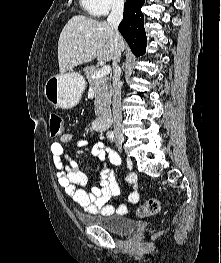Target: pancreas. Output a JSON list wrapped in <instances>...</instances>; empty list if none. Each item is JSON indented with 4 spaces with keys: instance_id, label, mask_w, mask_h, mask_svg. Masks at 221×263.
Instances as JSON below:
<instances>
[{
    "instance_id": "pancreas-1",
    "label": "pancreas",
    "mask_w": 221,
    "mask_h": 263,
    "mask_svg": "<svg viewBox=\"0 0 221 263\" xmlns=\"http://www.w3.org/2000/svg\"><path fill=\"white\" fill-rule=\"evenodd\" d=\"M96 72L97 68L95 66H87L84 68V74L94 91L95 115L99 116L110 103L111 85L106 75L99 78H93L92 76Z\"/></svg>"
}]
</instances>
